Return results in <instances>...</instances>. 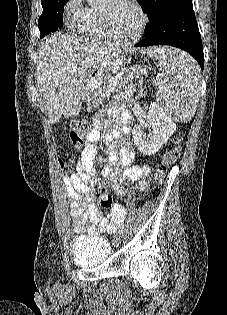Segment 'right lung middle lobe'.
<instances>
[{
  "label": "right lung middle lobe",
  "instance_id": "dd1d6c3e",
  "mask_svg": "<svg viewBox=\"0 0 227 315\" xmlns=\"http://www.w3.org/2000/svg\"><path fill=\"white\" fill-rule=\"evenodd\" d=\"M67 1L68 0H46L41 2L43 12L38 19L40 38L62 27L63 10Z\"/></svg>",
  "mask_w": 227,
  "mask_h": 315
}]
</instances>
